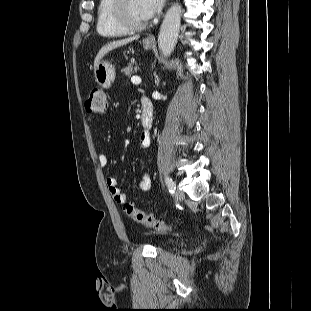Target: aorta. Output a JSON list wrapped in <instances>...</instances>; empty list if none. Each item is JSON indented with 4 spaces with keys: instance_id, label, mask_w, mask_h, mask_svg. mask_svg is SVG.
<instances>
[{
    "instance_id": "aorta-1",
    "label": "aorta",
    "mask_w": 311,
    "mask_h": 311,
    "mask_svg": "<svg viewBox=\"0 0 311 311\" xmlns=\"http://www.w3.org/2000/svg\"><path fill=\"white\" fill-rule=\"evenodd\" d=\"M181 23V6L172 5L165 14L158 35V47L161 53L168 57L177 43Z\"/></svg>"
}]
</instances>
